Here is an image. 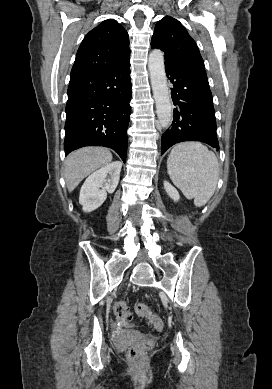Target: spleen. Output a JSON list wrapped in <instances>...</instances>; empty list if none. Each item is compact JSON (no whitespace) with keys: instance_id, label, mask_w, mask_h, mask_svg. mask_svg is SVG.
Segmentation results:
<instances>
[{"instance_id":"1","label":"spleen","mask_w":272,"mask_h":389,"mask_svg":"<svg viewBox=\"0 0 272 389\" xmlns=\"http://www.w3.org/2000/svg\"><path fill=\"white\" fill-rule=\"evenodd\" d=\"M172 182L187 199L203 206L213 195L218 181L219 165L215 154L201 143L185 142L176 145L167 160Z\"/></svg>"}]
</instances>
